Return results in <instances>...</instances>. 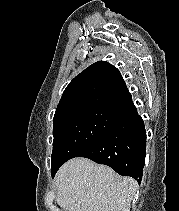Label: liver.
Here are the masks:
<instances>
[{
	"instance_id": "1",
	"label": "liver",
	"mask_w": 179,
	"mask_h": 211,
	"mask_svg": "<svg viewBox=\"0 0 179 211\" xmlns=\"http://www.w3.org/2000/svg\"><path fill=\"white\" fill-rule=\"evenodd\" d=\"M138 188L108 166L73 158L55 176L56 201L65 211H130Z\"/></svg>"
}]
</instances>
